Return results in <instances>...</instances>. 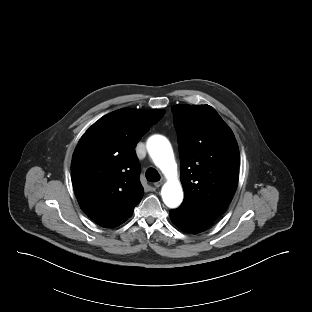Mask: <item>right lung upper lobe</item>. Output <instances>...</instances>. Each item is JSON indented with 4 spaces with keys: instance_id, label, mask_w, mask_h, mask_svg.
<instances>
[{
    "instance_id": "right-lung-upper-lobe-1",
    "label": "right lung upper lobe",
    "mask_w": 312,
    "mask_h": 312,
    "mask_svg": "<svg viewBox=\"0 0 312 312\" xmlns=\"http://www.w3.org/2000/svg\"><path fill=\"white\" fill-rule=\"evenodd\" d=\"M164 110L123 108L94 123L71 162L75 195L83 212L102 227L125 222L144 194L134 148Z\"/></svg>"
}]
</instances>
